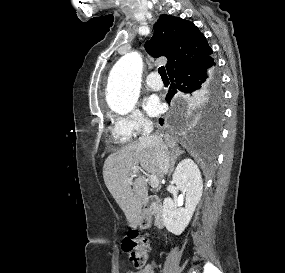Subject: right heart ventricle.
I'll return each mask as SVG.
<instances>
[{
    "instance_id": "obj_1",
    "label": "right heart ventricle",
    "mask_w": 285,
    "mask_h": 273,
    "mask_svg": "<svg viewBox=\"0 0 285 273\" xmlns=\"http://www.w3.org/2000/svg\"><path fill=\"white\" fill-rule=\"evenodd\" d=\"M111 132H112L113 139L119 144H125L130 140V138L126 137L121 132H119L116 127H114L111 130Z\"/></svg>"
}]
</instances>
